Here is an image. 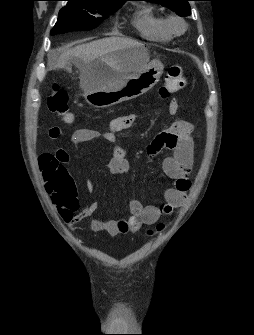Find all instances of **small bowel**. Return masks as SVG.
I'll use <instances>...</instances> for the list:
<instances>
[{
    "label": "small bowel",
    "instance_id": "obj_1",
    "mask_svg": "<svg viewBox=\"0 0 254 335\" xmlns=\"http://www.w3.org/2000/svg\"><path fill=\"white\" fill-rule=\"evenodd\" d=\"M179 98H171L167 108L164 109L165 115L180 114ZM135 116L123 115L112 119L105 131H96L91 129H77L73 132L71 140L74 144L102 139L111 145L112 156L108 162V170L112 174H126L129 172V163L126 153L117 140V133L130 128L134 122ZM192 125L186 120L176 121L170 128L158 134L147 147L150 157H155L162 149L171 150V156L163 162V171L175 181L173 187L165 191V203L160 206H143L136 199L129 202L131 216L127 219L102 220L92 218L91 228L93 231L106 232L109 235H117L128 232H136L143 225H153L164 216L169 215L175 208L181 207L186 198V193L190 188L189 179L193 165V148L191 139ZM52 140L62 139V130L59 127H53L49 132ZM58 160L65 168L70 162V156L63 150L58 151ZM40 163V162H39ZM69 176V173L67 172ZM70 178V176H69ZM87 190L91 191V186L87 185ZM51 198L55 193H50ZM54 199V198H53ZM98 209V204L92 202L82 209L78 210L73 200H68L61 205V216L70 226H73L87 217L92 216Z\"/></svg>",
    "mask_w": 254,
    "mask_h": 335
}]
</instances>
